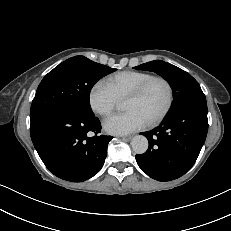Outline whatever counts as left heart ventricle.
Wrapping results in <instances>:
<instances>
[{
    "mask_svg": "<svg viewBox=\"0 0 231 231\" xmlns=\"http://www.w3.org/2000/svg\"><path fill=\"white\" fill-rule=\"evenodd\" d=\"M167 88L162 82H154L143 97L126 99L124 109L139 112L147 121L157 116L167 102Z\"/></svg>",
    "mask_w": 231,
    "mask_h": 231,
    "instance_id": "b2bd125f",
    "label": "left heart ventricle"
}]
</instances>
